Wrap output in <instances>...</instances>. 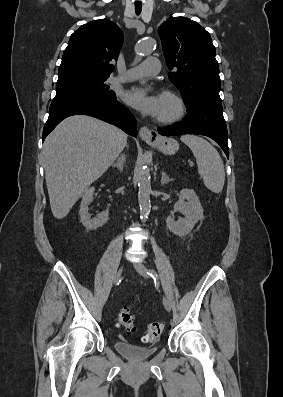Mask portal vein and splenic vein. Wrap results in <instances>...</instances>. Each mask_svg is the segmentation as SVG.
Wrapping results in <instances>:
<instances>
[{
    "label": "portal vein and splenic vein",
    "mask_w": 283,
    "mask_h": 397,
    "mask_svg": "<svg viewBox=\"0 0 283 397\" xmlns=\"http://www.w3.org/2000/svg\"><path fill=\"white\" fill-rule=\"evenodd\" d=\"M194 164H193V162H190V166L192 167Z\"/></svg>",
    "instance_id": "obj_1"
}]
</instances>
